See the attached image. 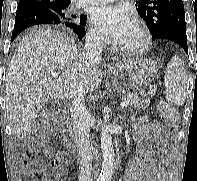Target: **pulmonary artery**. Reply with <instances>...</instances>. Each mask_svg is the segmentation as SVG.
<instances>
[{
	"label": "pulmonary artery",
	"mask_w": 197,
	"mask_h": 181,
	"mask_svg": "<svg viewBox=\"0 0 197 181\" xmlns=\"http://www.w3.org/2000/svg\"><path fill=\"white\" fill-rule=\"evenodd\" d=\"M114 0H80L77 3L78 7H85L89 5L105 4Z\"/></svg>",
	"instance_id": "e3ab8cb5"
}]
</instances>
